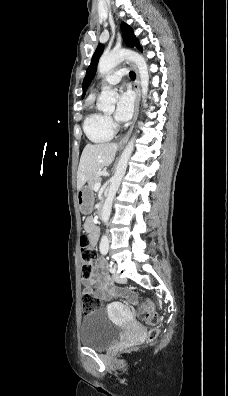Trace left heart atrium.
<instances>
[{
    "mask_svg": "<svg viewBox=\"0 0 228 396\" xmlns=\"http://www.w3.org/2000/svg\"><path fill=\"white\" fill-rule=\"evenodd\" d=\"M134 109V96L129 90H121L118 98L117 108L115 111V119L118 122H127Z\"/></svg>",
    "mask_w": 228,
    "mask_h": 396,
    "instance_id": "left-heart-atrium-1",
    "label": "left heart atrium"
}]
</instances>
